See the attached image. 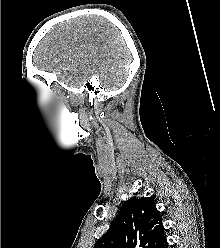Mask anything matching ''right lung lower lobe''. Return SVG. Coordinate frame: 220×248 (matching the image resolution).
Returning <instances> with one entry per match:
<instances>
[{
	"mask_svg": "<svg viewBox=\"0 0 220 248\" xmlns=\"http://www.w3.org/2000/svg\"><path fill=\"white\" fill-rule=\"evenodd\" d=\"M157 248H168V243L166 238L157 246Z\"/></svg>",
	"mask_w": 220,
	"mask_h": 248,
	"instance_id": "98d812e1",
	"label": "right lung lower lobe"
}]
</instances>
